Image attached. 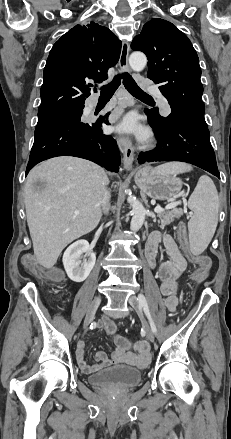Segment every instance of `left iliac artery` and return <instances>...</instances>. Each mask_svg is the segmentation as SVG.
I'll return each instance as SVG.
<instances>
[{
  "mask_svg": "<svg viewBox=\"0 0 231 439\" xmlns=\"http://www.w3.org/2000/svg\"><path fill=\"white\" fill-rule=\"evenodd\" d=\"M138 300H139L140 306L143 308V310H144V312H145V314H146V316H147V318L149 320L152 332L156 333L157 329H156L154 321H153V319L151 317V314H150L149 307H148V304H147L145 296L142 293H140L138 295Z\"/></svg>",
  "mask_w": 231,
  "mask_h": 439,
  "instance_id": "44dca946",
  "label": "left iliac artery"
}]
</instances>
